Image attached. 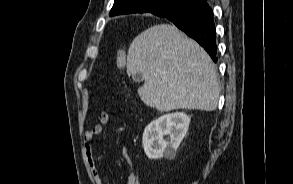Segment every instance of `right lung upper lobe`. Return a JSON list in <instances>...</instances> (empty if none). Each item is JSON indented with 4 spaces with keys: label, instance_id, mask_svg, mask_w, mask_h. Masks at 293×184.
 Instances as JSON below:
<instances>
[{
    "label": "right lung upper lobe",
    "instance_id": "1",
    "mask_svg": "<svg viewBox=\"0 0 293 184\" xmlns=\"http://www.w3.org/2000/svg\"><path fill=\"white\" fill-rule=\"evenodd\" d=\"M156 1H164V7L156 6ZM186 3H201L206 5L207 0H115L110 16L130 13H152L163 16L170 10L177 9Z\"/></svg>",
    "mask_w": 293,
    "mask_h": 184
}]
</instances>
